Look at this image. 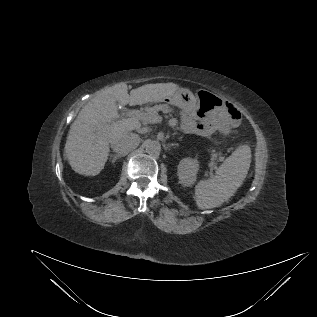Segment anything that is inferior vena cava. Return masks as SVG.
I'll return each mask as SVG.
<instances>
[{"instance_id":"602c4592","label":"inferior vena cava","mask_w":317,"mask_h":317,"mask_svg":"<svg viewBox=\"0 0 317 317\" xmlns=\"http://www.w3.org/2000/svg\"><path fill=\"white\" fill-rule=\"evenodd\" d=\"M139 143H140L139 136L137 134L130 133L115 140L111 144V147L113 151L116 152L118 155L125 156L130 151L135 149L139 145Z\"/></svg>"}]
</instances>
